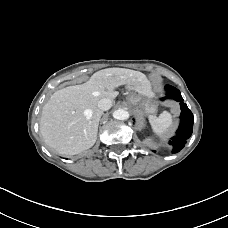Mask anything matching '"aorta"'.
<instances>
[{
  "label": "aorta",
  "mask_w": 228,
  "mask_h": 228,
  "mask_svg": "<svg viewBox=\"0 0 228 228\" xmlns=\"http://www.w3.org/2000/svg\"><path fill=\"white\" fill-rule=\"evenodd\" d=\"M113 117L117 120H126L129 118V112L125 109H118L113 112Z\"/></svg>",
  "instance_id": "obj_1"
}]
</instances>
